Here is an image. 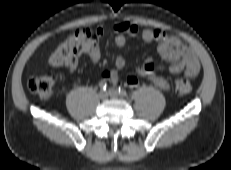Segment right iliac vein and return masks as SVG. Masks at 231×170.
<instances>
[{
	"instance_id": "63e3f726",
	"label": "right iliac vein",
	"mask_w": 231,
	"mask_h": 170,
	"mask_svg": "<svg viewBox=\"0 0 231 170\" xmlns=\"http://www.w3.org/2000/svg\"><path fill=\"white\" fill-rule=\"evenodd\" d=\"M99 98L101 99H106L107 96H108V93L105 92V91H100L99 94H98Z\"/></svg>"
}]
</instances>
